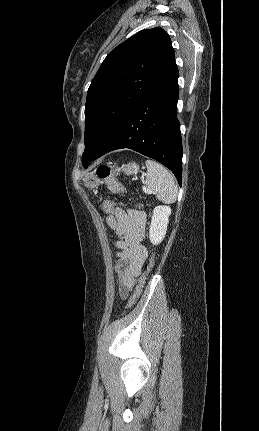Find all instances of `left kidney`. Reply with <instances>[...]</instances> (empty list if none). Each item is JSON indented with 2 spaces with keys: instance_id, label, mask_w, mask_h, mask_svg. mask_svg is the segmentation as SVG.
Listing matches in <instances>:
<instances>
[{
  "instance_id": "left-kidney-1",
  "label": "left kidney",
  "mask_w": 259,
  "mask_h": 431,
  "mask_svg": "<svg viewBox=\"0 0 259 431\" xmlns=\"http://www.w3.org/2000/svg\"><path fill=\"white\" fill-rule=\"evenodd\" d=\"M171 208L169 206H156L153 210L149 238L153 245L160 244L167 231Z\"/></svg>"
}]
</instances>
